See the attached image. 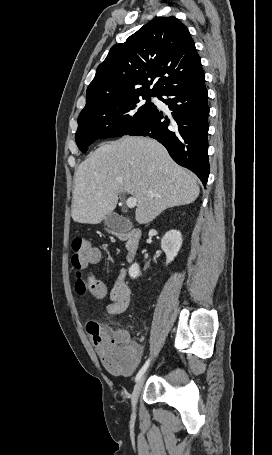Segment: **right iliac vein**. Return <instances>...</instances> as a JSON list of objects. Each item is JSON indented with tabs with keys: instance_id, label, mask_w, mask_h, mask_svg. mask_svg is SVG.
<instances>
[{
	"instance_id": "obj_1",
	"label": "right iliac vein",
	"mask_w": 272,
	"mask_h": 455,
	"mask_svg": "<svg viewBox=\"0 0 272 455\" xmlns=\"http://www.w3.org/2000/svg\"><path fill=\"white\" fill-rule=\"evenodd\" d=\"M144 382H145V376L141 377L137 381V383H136V385L134 387V390H133V393H132V398H131V403H132L133 410H135V408H136V404H137L139 395L141 393V390L143 388Z\"/></svg>"
}]
</instances>
